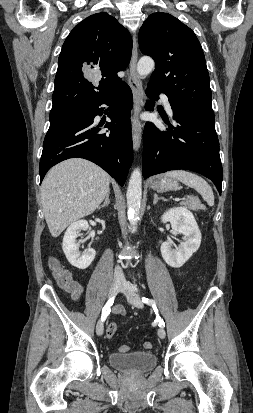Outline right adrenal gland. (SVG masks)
Masks as SVG:
<instances>
[{"instance_id":"obj_1","label":"right adrenal gland","mask_w":253,"mask_h":413,"mask_svg":"<svg viewBox=\"0 0 253 413\" xmlns=\"http://www.w3.org/2000/svg\"><path fill=\"white\" fill-rule=\"evenodd\" d=\"M109 194H110V191L107 193L103 204L100 207H98V209L104 208L110 204Z\"/></svg>"}]
</instances>
